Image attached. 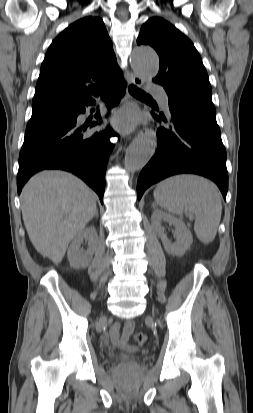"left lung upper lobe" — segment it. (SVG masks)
I'll list each match as a JSON object with an SVG mask.
<instances>
[{
  "label": "left lung upper lobe",
  "mask_w": 253,
  "mask_h": 413,
  "mask_svg": "<svg viewBox=\"0 0 253 413\" xmlns=\"http://www.w3.org/2000/svg\"><path fill=\"white\" fill-rule=\"evenodd\" d=\"M137 44L152 46L160 57V69L153 79L169 98L187 101L215 111L212 89L202 59L193 43L175 26L160 17L142 27Z\"/></svg>",
  "instance_id": "left-lung-upper-lobe-1"
}]
</instances>
